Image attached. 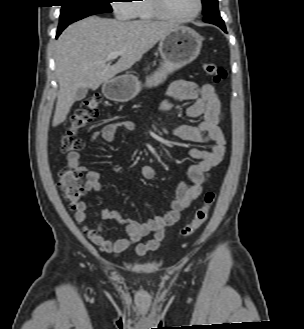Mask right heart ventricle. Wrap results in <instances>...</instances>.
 I'll use <instances>...</instances> for the list:
<instances>
[{
	"instance_id": "e07e8e85",
	"label": "right heart ventricle",
	"mask_w": 304,
	"mask_h": 329,
	"mask_svg": "<svg viewBox=\"0 0 304 329\" xmlns=\"http://www.w3.org/2000/svg\"><path fill=\"white\" fill-rule=\"evenodd\" d=\"M137 2L139 3L132 4V18L140 21H152L159 18L152 7L151 0H137Z\"/></svg>"
}]
</instances>
